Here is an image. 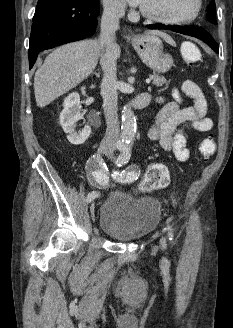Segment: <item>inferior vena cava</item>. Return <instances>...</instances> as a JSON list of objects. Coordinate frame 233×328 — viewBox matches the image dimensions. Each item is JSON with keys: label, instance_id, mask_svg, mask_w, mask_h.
<instances>
[{"label": "inferior vena cava", "instance_id": "1", "mask_svg": "<svg viewBox=\"0 0 233 328\" xmlns=\"http://www.w3.org/2000/svg\"><path fill=\"white\" fill-rule=\"evenodd\" d=\"M101 18V33L99 41L102 45L100 64L104 71L101 83V95L104 103V115L107 124L105 136L100 149L112 154L119 140V121L117 115V57L113 52L115 46V32L119 28V19L125 14V4L120 1H106Z\"/></svg>", "mask_w": 233, "mask_h": 328}]
</instances>
